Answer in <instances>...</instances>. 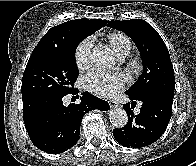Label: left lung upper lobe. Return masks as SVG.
Returning <instances> with one entry per match:
<instances>
[{"label":"left lung upper lobe","instance_id":"left-lung-upper-lobe-1","mask_svg":"<svg viewBox=\"0 0 196 166\" xmlns=\"http://www.w3.org/2000/svg\"><path fill=\"white\" fill-rule=\"evenodd\" d=\"M107 26L130 36L141 55L143 73L125 93L135 99L150 93L174 98V70L168 49L158 32L142 19L113 20Z\"/></svg>","mask_w":196,"mask_h":166}]
</instances>
